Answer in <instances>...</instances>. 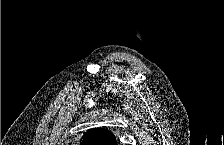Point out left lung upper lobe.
Returning a JSON list of instances; mask_svg holds the SVG:
<instances>
[{"label": "left lung upper lobe", "instance_id": "obj_1", "mask_svg": "<svg viewBox=\"0 0 224 145\" xmlns=\"http://www.w3.org/2000/svg\"><path fill=\"white\" fill-rule=\"evenodd\" d=\"M82 145H117L114 135L106 129L98 128L85 133Z\"/></svg>", "mask_w": 224, "mask_h": 145}]
</instances>
